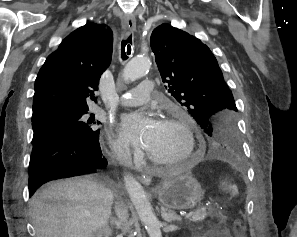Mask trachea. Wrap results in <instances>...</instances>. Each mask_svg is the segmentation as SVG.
Here are the masks:
<instances>
[{
  "instance_id": "1",
  "label": "trachea",
  "mask_w": 297,
  "mask_h": 237,
  "mask_svg": "<svg viewBox=\"0 0 297 237\" xmlns=\"http://www.w3.org/2000/svg\"><path fill=\"white\" fill-rule=\"evenodd\" d=\"M131 45H132V35L128 36L126 39H123L121 42V58L122 60L128 59L131 54Z\"/></svg>"
}]
</instances>
